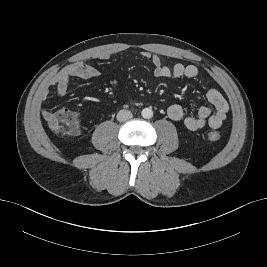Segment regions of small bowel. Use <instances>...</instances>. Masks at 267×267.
I'll return each instance as SVG.
<instances>
[{"label":"small bowel","mask_w":267,"mask_h":267,"mask_svg":"<svg viewBox=\"0 0 267 267\" xmlns=\"http://www.w3.org/2000/svg\"><path fill=\"white\" fill-rule=\"evenodd\" d=\"M140 56L149 60L154 67V75L159 78H182L198 81L206 90L208 102L214 107L215 111L209 106L203 105L199 108L196 115L185 116L184 110L179 104L169 106L168 116L175 121L183 120L185 127L191 131H196L208 125L212 129H218L222 126L229 112V105L223 95L215 88L206 86L200 79V73L194 65H184L177 63L174 66L165 65L159 56L153 55L150 52L143 51ZM99 59L108 60L109 54L103 53L98 55ZM100 75V71L84 62H75L61 71H59L50 82V86L55 87V92L58 96L65 95L70 86V81L73 78L92 79ZM49 96V90L45 89L41 98L44 100ZM41 114L45 120H48L52 112L49 110H41Z\"/></svg>","instance_id":"c3829d8e"}]
</instances>
